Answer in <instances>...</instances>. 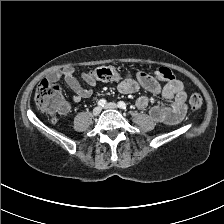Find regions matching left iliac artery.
<instances>
[{"label": "left iliac artery", "instance_id": "obj_1", "mask_svg": "<svg viewBox=\"0 0 224 224\" xmlns=\"http://www.w3.org/2000/svg\"><path fill=\"white\" fill-rule=\"evenodd\" d=\"M118 107L121 108V109H126L127 108V105L125 102L123 101H119L118 102Z\"/></svg>", "mask_w": 224, "mask_h": 224}]
</instances>
